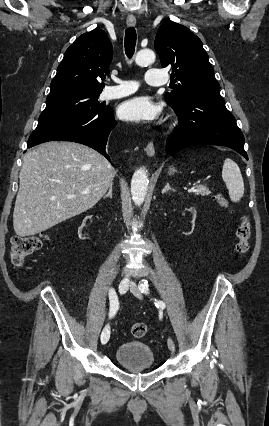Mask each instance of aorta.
I'll return each mask as SVG.
<instances>
[{"label": "aorta", "mask_w": 269, "mask_h": 426, "mask_svg": "<svg viewBox=\"0 0 269 426\" xmlns=\"http://www.w3.org/2000/svg\"><path fill=\"white\" fill-rule=\"evenodd\" d=\"M155 53L150 49L140 50L135 57L136 64L143 66L155 61ZM148 176L145 168H139L133 174L131 180V195L134 203L140 206L145 199L148 188Z\"/></svg>", "instance_id": "762f6f07"}]
</instances>
